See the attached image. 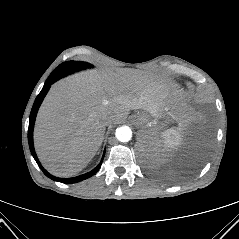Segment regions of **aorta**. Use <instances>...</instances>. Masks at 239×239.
<instances>
[{"mask_svg": "<svg viewBox=\"0 0 239 239\" xmlns=\"http://www.w3.org/2000/svg\"><path fill=\"white\" fill-rule=\"evenodd\" d=\"M115 136L120 142H129L132 138V130L128 126L118 127Z\"/></svg>", "mask_w": 239, "mask_h": 239, "instance_id": "762f6f07", "label": "aorta"}]
</instances>
